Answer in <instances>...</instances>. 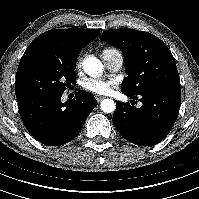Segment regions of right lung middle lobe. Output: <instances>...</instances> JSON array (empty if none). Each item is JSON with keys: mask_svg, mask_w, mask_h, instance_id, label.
<instances>
[{"mask_svg": "<svg viewBox=\"0 0 199 199\" xmlns=\"http://www.w3.org/2000/svg\"><path fill=\"white\" fill-rule=\"evenodd\" d=\"M76 60H61L41 51L24 53L16 73V96L62 94L75 83Z\"/></svg>", "mask_w": 199, "mask_h": 199, "instance_id": "1", "label": "right lung middle lobe"}]
</instances>
